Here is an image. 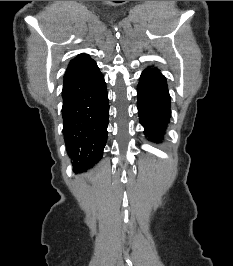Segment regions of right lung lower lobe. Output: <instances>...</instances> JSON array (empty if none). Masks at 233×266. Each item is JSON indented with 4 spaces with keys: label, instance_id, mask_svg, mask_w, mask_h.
I'll list each match as a JSON object with an SVG mask.
<instances>
[{
    "label": "right lung lower lobe",
    "instance_id": "98d812e1",
    "mask_svg": "<svg viewBox=\"0 0 233 266\" xmlns=\"http://www.w3.org/2000/svg\"><path fill=\"white\" fill-rule=\"evenodd\" d=\"M63 134L74 171H85L102 157L109 102L104 77L90 57L64 75Z\"/></svg>",
    "mask_w": 233,
    "mask_h": 266
}]
</instances>
